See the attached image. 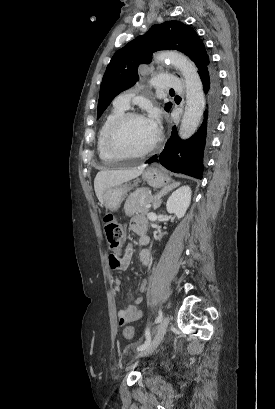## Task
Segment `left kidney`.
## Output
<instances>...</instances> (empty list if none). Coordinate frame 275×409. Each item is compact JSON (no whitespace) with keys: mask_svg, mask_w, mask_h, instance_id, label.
<instances>
[{"mask_svg":"<svg viewBox=\"0 0 275 409\" xmlns=\"http://www.w3.org/2000/svg\"><path fill=\"white\" fill-rule=\"evenodd\" d=\"M191 200L190 186H180L172 192L167 200L166 209L168 213H175L178 219L184 217Z\"/></svg>","mask_w":275,"mask_h":409,"instance_id":"obj_1","label":"left kidney"}]
</instances>
